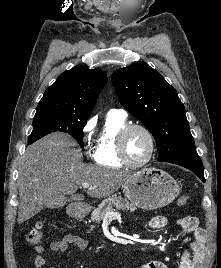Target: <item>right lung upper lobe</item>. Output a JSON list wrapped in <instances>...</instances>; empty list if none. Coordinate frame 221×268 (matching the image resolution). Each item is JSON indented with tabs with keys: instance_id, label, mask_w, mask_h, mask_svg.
I'll return each mask as SVG.
<instances>
[{
	"instance_id": "right-lung-upper-lobe-1",
	"label": "right lung upper lobe",
	"mask_w": 221,
	"mask_h": 268,
	"mask_svg": "<svg viewBox=\"0 0 221 268\" xmlns=\"http://www.w3.org/2000/svg\"><path fill=\"white\" fill-rule=\"evenodd\" d=\"M107 76L100 70L75 66L45 91L36 111H63L89 117Z\"/></svg>"
}]
</instances>
